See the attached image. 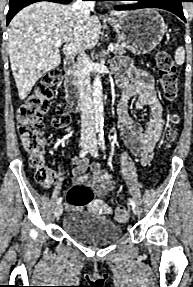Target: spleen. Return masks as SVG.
<instances>
[{
  "label": "spleen",
  "instance_id": "spleen-1",
  "mask_svg": "<svg viewBox=\"0 0 193 287\" xmlns=\"http://www.w3.org/2000/svg\"><path fill=\"white\" fill-rule=\"evenodd\" d=\"M175 62L178 65H182L185 60V50L183 47H178L175 51V56H174Z\"/></svg>",
  "mask_w": 193,
  "mask_h": 287
}]
</instances>
